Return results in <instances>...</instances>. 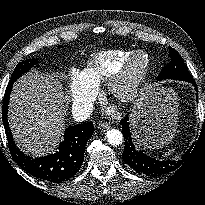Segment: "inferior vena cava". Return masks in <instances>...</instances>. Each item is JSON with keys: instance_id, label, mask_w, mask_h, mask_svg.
<instances>
[{"instance_id": "1", "label": "inferior vena cava", "mask_w": 205, "mask_h": 205, "mask_svg": "<svg viewBox=\"0 0 205 205\" xmlns=\"http://www.w3.org/2000/svg\"><path fill=\"white\" fill-rule=\"evenodd\" d=\"M93 112V104L89 101L76 103L72 107V115L75 121L83 122L88 119Z\"/></svg>"}]
</instances>
